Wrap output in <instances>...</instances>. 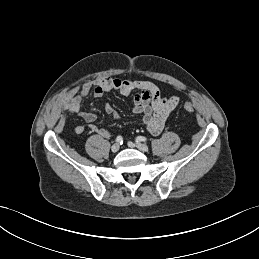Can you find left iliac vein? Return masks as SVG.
<instances>
[{"label": "left iliac vein", "mask_w": 259, "mask_h": 259, "mask_svg": "<svg viewBox=\"0 0 259 259\" xmlns=\"http://www.w3.org/2000/svg\"><path fill=\"white\" fill-rule=\"evenodd\" d=\"M129 147L131 148H138L140 151L146 152L148 151V146L143 143H134V142H128Z\"/></svg>", "instance_id": "4c4485c4"}]
</instances>
